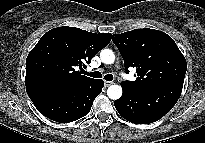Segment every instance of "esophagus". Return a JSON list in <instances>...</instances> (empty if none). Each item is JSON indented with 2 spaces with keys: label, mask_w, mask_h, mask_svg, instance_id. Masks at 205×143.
I'll return each instance as SVG.
<instances>
[{
  "label": "esophagus",
  "mask_w": 205,
  "mask_h": 143,
  "mask_svg": "<svg viewBox=\"0 0 205 143\" xmlns=\"http://www.w3.org/2000/svg\"><path fill=\"white\" fill-rule=\"evenodd\" d=\"M111 84H112L111 81H105V82H104L105 87H108V86H110Z\"/></svg>",
  "instance_id": "esophagus-1"
}]
</instances>
